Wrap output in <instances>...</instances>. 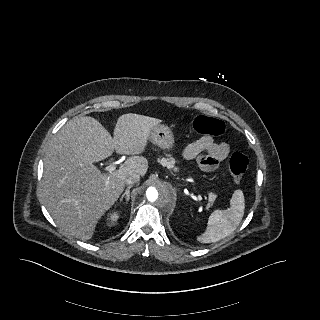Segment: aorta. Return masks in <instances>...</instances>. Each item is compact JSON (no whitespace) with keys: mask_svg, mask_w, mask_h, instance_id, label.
<instances>
[{"mask_svg":"<svg viewBox=\"0 0 320 320\" xmlns=\"http://www.w3.org/2000/svg\"><path fill=\"white\" fill-rule=\"evenodd\" d=\"M173 198V191L170 185L161 181H155L145 191V203L158 213H162L166 204L170 203Z\"/></svg>","mask_w":320,"mask_h":320,"instance_id":"1","label":"aorta"}]
</instances>
